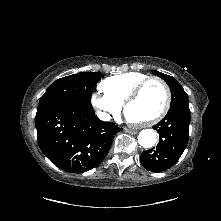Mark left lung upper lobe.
Returning a JSON list of instances; mask_svg holds the SVG:
<instances>
[{"mask_svg": "<svg viewBox=\"0 0 221 221\" xmlns=\"http://www.w3.org/2000/svg\"><path fill=\"white\" fill-rule=\"evenodd\" d=\"M154 74L162 78L170 87L172 99L170 107L178 105H188V95L184 91L183 87L172 77L167 74L152 70Z\"/></svg>", "mask_w": 221, "mask_h": 221, "instance_id": "1", "label": "left lung upper lobe"}]
</instances>
